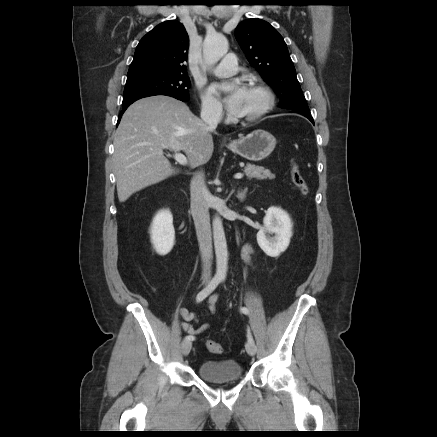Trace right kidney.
I'll return each instance as SVG.
<instances>
[{
	"label": "right kidney",
	"mask_w": 437,
	"mask_h": 437,
	"mask_svg": "<svg viewBox=\"0 0 437 437\" xmlns=\"http://www.w3.org/2000/svg\"><path fill=\"white\" fill-rule=\"evenodd\" d=\"M151 242L157 254L167 255L175 243L173 216L169 210L159 211L153 218L150 229Z\"/></svg>",
	"instance_id": "ca27d5eb"
}]
</instances>
